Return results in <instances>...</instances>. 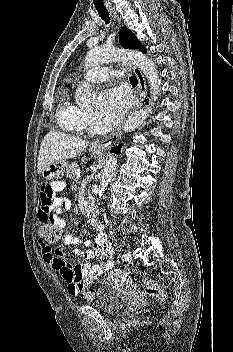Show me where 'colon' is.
<instances>
[{
    "mask_svg": "<svg viewBox=\"0 0 233 352\" xmlns=\"http://www.w3.org/2000/svg\"><path fill=\"white\" fill-rule=\"evenodd\" d=\"M38 234L41 238V241L44 244L49 245L57 242L60 239L62 231L59 228L53 226L52 224L41 223L38 228ZM141 284L147 296L152 297L154 299H158L160 301L166 300V293L154 280L145 278L141 281ZM94 295L95 291L92 289H86L82 291V298L85 300H91Z\"/></svg>",
    "mask_w": 233,
    "mask_h": 352,
    "instance_id": "colon-1",
    "label": "colon"
}]
</instances>
